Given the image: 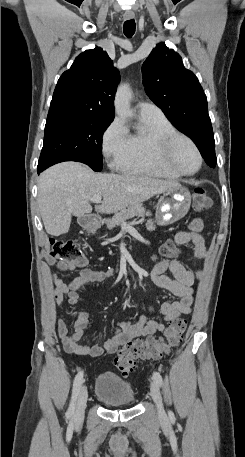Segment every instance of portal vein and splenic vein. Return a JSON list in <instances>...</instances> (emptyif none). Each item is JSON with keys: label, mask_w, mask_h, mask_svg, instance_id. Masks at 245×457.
Listing matches in <instances>:
<instances>
[{"label": "portal vein and splenic vein", "mask_w": 245, "mask_h": 457, "mask_svg": "<svg viewBox=\"0 0 245 457\" xmlns=\"http://www.w3.org/2000/svg\"><path fill=\"white\" fill-rule=\"evenodd\" d=\"M101 194H96V196H92V198H88V200H93V202H101Z\"/></svg>", "instance_id": "obj_1"}]
</instances>
